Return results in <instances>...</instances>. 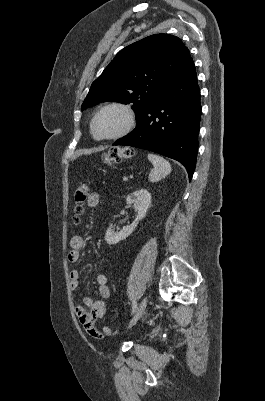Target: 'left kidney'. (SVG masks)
Here are the masks:
<instances>
[{"mask_svg": "<svg viewBox=\"0 0 265 401\" xmlns=\"http://www.w3.org/2000/svg\"><path fill=\"white\" fill-rule=\"evenodd\" d=\"M151 198L152 196L147 188H140V190H135V192H131V194L127 196V205H132V207H134L135 211H137V217L131 225L124 227L122 231H117V233H115L112 225H110L105 235V241H107L108 245H116V243L124 241V239H127V237L133 233L139 221L144 219L146 211L151 205Z\"/></svg>", "mask_w": 265, "mask_h": 401, "instance_id": "left-kidney-1", "label": "left kidney"}]
</instances>
